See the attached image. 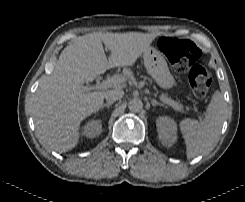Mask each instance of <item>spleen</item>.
I'll return each mask as SVG.
<instances>
[{
	"mask_svg": "<svg viewBox=\"0 0 245 202\" xmlns=\"http://www.w3.org/2000/svg\"><path fill=\"white\" fill-rule=\"evenodd\" d=\"M223 94L216 91L207 107L202 121L183 119L180 130L186 143L187 158H194L210 149L218 138L225 119Z\"/></svg>",
	"mask_w": 245,
	"mask_h": 202,
	"instance_id": "obj_1",
	"label": "spleen"
}]
</instances>
